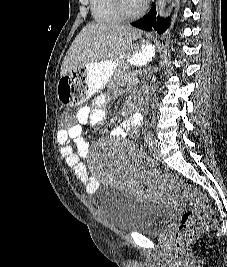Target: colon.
Segmentation results:
<instances>
[{
  "mask_svg": "<svg viewBox=\"0 0 227 267\" xmlns=\"http://www.w3.org/2000/svg\"><path fill=\"white\" fill-rule=\"evenodd\" d=\"M61 130H68L72 125L74 110H62ZM162 184L167 187L182 204L189 205L178 222L175 231V249L180 250L183 245L192 241L200 233L210 230L216 223V218L208 199L187 181L174 175H164Z\"/></svg>",
  "mask_w": 227,
  "mask_h": 267,
  "instance_id": "obj_1",
  "label": "colon"
}]
</instances>
